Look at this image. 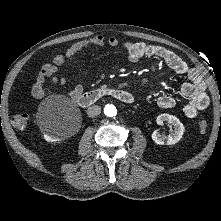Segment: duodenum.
Here are the masks:
<instances>
[{"label": "duodenum", "mask_w": 221, "mask_h": 221, "mask_svg": "<svg viewBox=\"0 0 221 221\" xmlns=\"http://www.w3.org/2000/svg\"><path fill=\"white\" fill-rule=\"evenodd\" d=\"M105 96H110L124 104H131L134 101V97L129 91L114 88H99L81 93L77 96L76 101L81 107L87 108Z\"/></svg>", "instance_id": "410a0bca"}]
</instances>
